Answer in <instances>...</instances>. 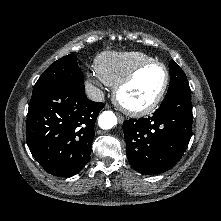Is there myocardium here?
<instances>
[{"label": "myocardium", "instance_id": "f54148a6", "mask_svg": "<svg viewBox=\"0 0 221 221\" xmlns=\"http://www.w3.org/2000/svg\"><path fill=\"white\" fill-rule=\"evenodd\" d=\"M151 66H160L164 70L165 74L163 85L159 90V92L157 93L156 97L150 103L142 107H132L125 104L120 97L121 91L125 87L130 85L142 70ZM169 82H170V74L166 65L157 60H150L136 66L118 84L114 86L113 100L117 104V106L127 114L134 117L145 116L153 112L159 106V104L161 103L162 99L166 94Z\"/></svg>", "mask_w": 221, "mask_h": 221}]
</instances>
